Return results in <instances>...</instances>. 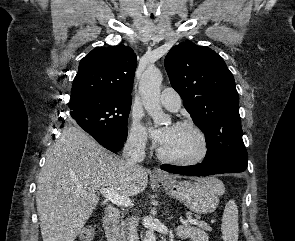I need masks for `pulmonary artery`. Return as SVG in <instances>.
<instances>
[{"label": "pulmonary artery", "instance_id": "obj_1", "mask_svg": "<svg viewBox=\"0 0 295 241\" xmlns=\"http://www.w3.org/2000/svg\"><path fill=\"white\" fill-rule=\"evenodd\" d=\"M160 103L168 110L176 112L182 105V100L177 91L172 88H165L160 96Z\"/></svg>", "mask_w": 295, "mask_h": 241}]
</instances>
